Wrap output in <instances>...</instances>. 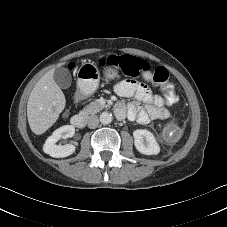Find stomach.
<instances>
[{"label":"stomach","mask_w":227,"mask_h":227,"mask_svg":"<svg viewBox=\"0 0 227 227\" xmlns=\"http://www.w3.org/2000/svg\"><path fill=\"white\" fill-rule=\"evenodd\" d=\"M107 79H114L118 76L117 70L107 68L104 72ZM100 72L93 63H84L78 71V87L84 95L93 94L99 86Z\"/></svg>","instance_id":"stomach-1"}]
</instances>
